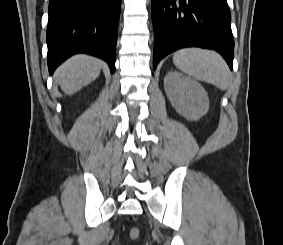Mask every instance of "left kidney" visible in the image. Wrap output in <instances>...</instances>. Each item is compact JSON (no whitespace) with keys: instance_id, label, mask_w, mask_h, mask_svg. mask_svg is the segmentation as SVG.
<instances>
[{"instance_id":"5707ae66","label":"left kidney","mask_w":283,"mask_h":245,"mask_svg":"<svg viewBox=\"0 0 283 245\" xmlns=\"http://www.w3.org/2000/svg\"><path fill=\"white\" fill-rule=\"evenodd\" d=\"M166 95L175 110L188 120H198L209 110L205 89L179 72H168L164 78Z\"/></svg>"}]
</instances>
